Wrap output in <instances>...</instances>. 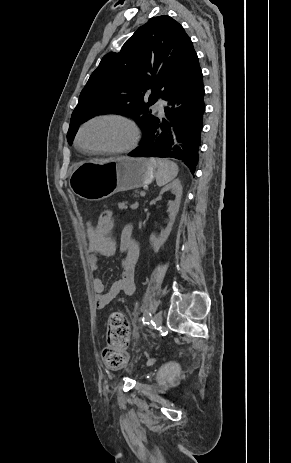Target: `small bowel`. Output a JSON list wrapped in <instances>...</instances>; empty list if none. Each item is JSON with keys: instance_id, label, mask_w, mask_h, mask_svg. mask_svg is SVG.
<instances>
[{"instance_id": "1", "label": "small bowel", "mask_w": 291, "mask_h": 463, "mask_svg": "<svg viewBox=\"0 0 291 463\" xmlns=\"http://www.w3.org/2000/svg\"><path fill=\"white\" fill-rule=\"evenodd\" d=\"M113 229H107L105 233L98 232V220L95 225H89L87 229L88 262L97 309L105 308L121 293L132 295L135 292L134 273L139 256V246L130 225L124 226L120 235L119 248L124 253V257L121 262L119 279L114 281L109 289H106L100 276V258L112 256L116 250V241L112 236Z\"/></svg>"}]
</instances>
